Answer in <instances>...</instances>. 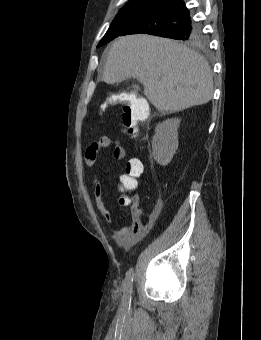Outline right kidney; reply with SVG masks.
Listing matches in <instances>:
<instances>
[{"mask_svg": "<svg viewBox=\"0 0 261 340\" xmlns=\"http://www.w3.org/2000/svg\"><path fill=\"white\" fill-rule=\"evenodd\" d=\"M180 119H167L156 125L152 139V154L162 166L170 163L178 149V128Z\"/></svg>", "mask_w": 261, "mask_h": 340, "instance_id": "right-kidney-1", "label": "right kidney"}]
</instances>
